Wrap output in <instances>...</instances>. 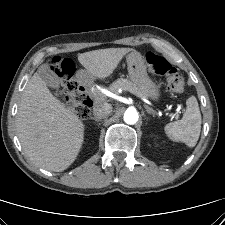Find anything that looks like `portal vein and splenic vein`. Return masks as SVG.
Listing matches in <instances>:
<instances>
[{
  "label": "portal vein and splenic vein",
  "mask_w": 225,
  "mask_h": 225,
  "mask_svg": "<svg viewBox=\"0 0 225 225\" xmlns=\"http://www.w3.org/2000/svg\"><path fill=\"white\" fill-rule=\"evenodd\" d=\"M170 118H178V114H171L169 115Z\"/></svg>",
  "instance_id": "obj_1"
}]
</instances>
